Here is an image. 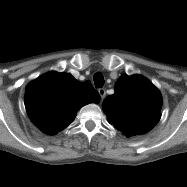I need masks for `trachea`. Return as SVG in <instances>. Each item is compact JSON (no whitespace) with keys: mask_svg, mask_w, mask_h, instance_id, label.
I'll list each match as a JSON object with an SVG mask.
<instances>
[{"mask_svg":"<svg viewBox=\"0 0 187 187\" xmlns=\"http://www.w3.org/2000/svg\"><path fill=\"white\" fill-rule=\"evenodd\" d=\"M93 80H94V83H95V87L98 88V87H103L104 85V77L101 73H95L94 76H93Z\"/></svg>","mask_w":187,"mask_h":187,"instance_id":"trachea-1","label":"trachea"}]
</instances>
